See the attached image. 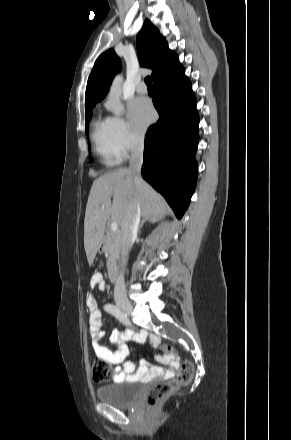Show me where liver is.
I'll list each match as a JSON object with an SVG mask.
<instances>
[{"instance_id": "1", "label": "liver", "mask_w": 291, "mask_h": 440, "mask_svg": "<svg viewBox=\"0 0 291 440\" xmlns=\"http://www.w3.org/2000/svg\"><path fill=\"white\" fill-rule=\"evenodd\" d=\"M134 198L143 218L163 216L169 211L162 196L147 182L141 179L139 185L134 183L129 169H117L94 180L84 219V247L89 265L101 247L107 221L111 218L122 226L126 209Z\"/></svg>"}]
</instances>
